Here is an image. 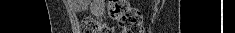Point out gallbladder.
<instances>
[{
    "mask_svg": "<svg viewBox=\"0 0 235 33\" xmlns=\"http://www.w3.org/2000/svg\"><path fill=\"white\" fill-rule=\"evenodd\" d=\"M87 1H88V0H85L84 2H87ZM85 6H86V3L83 4V7H85Z\"/></svg>",
    "mask_w": 235,
    "mask_h": 33,
    "instance_id": "obj_1",
    "label": "gallbladder"
}]
</instances>
